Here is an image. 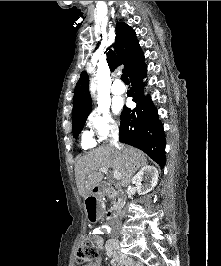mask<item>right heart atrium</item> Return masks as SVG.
Segmentation results:
<instances>
[{"instance_id": "d8ad5b80", "label": "right heart atrium", "mask_w": 221, "mask_h": 266, "mask_svg": "<svg viewBox=\"0 0 221 266\" xmlns=\"http://www.w3.org/2000/svg\"><path fill=\"white\" fill-rule=\"evenodd\" d=\"M87 124L92 134L101 141L116 135L119 130L117 122L106 106L94 108L88 115Z\"/></svg>"}]
</instances>
